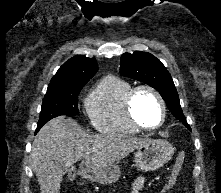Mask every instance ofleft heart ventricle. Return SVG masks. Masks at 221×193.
<instances>
[{"mask_svg":"<svg viewBox=\"0 0 221 193\" xmlns=\"http://www.w3.org/2000/svg\"><path fill=\"white\" fill-rule=\"evenodd\" d=\"M133 114L142 125L154 127L160 122L161 106L152 93L141 91L134 100Z\"/></svg>","mask_w":221,"mask_h":193,"instance_id":"left-heart-ventricle-1","label":"left heart ventricle"}]
</instances>
